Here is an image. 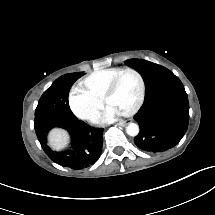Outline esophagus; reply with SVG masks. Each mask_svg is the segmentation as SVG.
<instances>
[{
    "mask_svg": "<svg viewBox=\"0 0 215 215\" xmlns=\"http://www.w3.org/2000/svg\"><path fill=\"white\" fill-rule=\"evenodd\" d=\"M131 122H132V119H127V120H125L123 122L118 123V125L123 127V126L128 125Z\"/></svg>",
    "mask_w": 215,
    "mask_h": 215,
    "instance_id": "obj_1",
    "label": "esophagus"
}]
</instances>
